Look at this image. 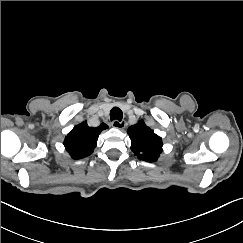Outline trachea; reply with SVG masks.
<instances>
[{"label":"trachea","instance_id":"trachea-1","mask_svg":"<svg viewBox=\"0 0 243 243\" xmlns=\"http://www.w3.org/2000/svg\"><path fill=\"white\" fill-rule=\"evenodd\" d=\"M122 111L120 108L118 107H114L111 109L110 111V118L111 120H118V121H121L122 120Z\"/></svg>","mask_w":243,"mask_h":243}]
</instances>
